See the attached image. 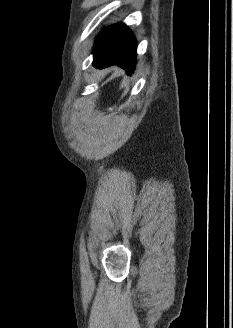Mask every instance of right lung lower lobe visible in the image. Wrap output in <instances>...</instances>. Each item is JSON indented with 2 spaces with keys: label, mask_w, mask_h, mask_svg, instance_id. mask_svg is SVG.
Segmentation results:
<instances>
[{
  "label": "right lung lower lobe",
  "mask_w": 233,
  "mask_h": 328,
  "mask_svg": "<svg viewBox=\"0 0 233 328\" xmlns=\"http://www.w3.org/2000/svg\"><path fill=\"white\" fill-rule=\"evenodd\" d=\"M136 48V40L126 25L108 27L96 40L93 52L95 66L118 65L131 74L135 68Z\"/></svg>",
  "instance_id": "1"
}]
</instances>
